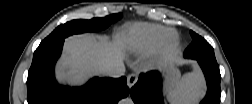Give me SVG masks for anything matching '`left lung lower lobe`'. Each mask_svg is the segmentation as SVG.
<instances>
[{
  "label": "left lung lower lobe",
  "mask_w": 252,
  "mask_h": 104,
  "mask_svg": "<svg viewBox=\"0 0 252 104\" xmlns=\"http://www.w3.org/2000/svg\"><path fill=\"white\" fill-rule=\"evenodd\" d=\"M195 60L205 75L208 87L207 94L200 104H219L221 75L216 59L199 58ZM130 95L135 104H163L160 72L152 71L140 74L138 82L130 90Z\"/></svg>",
  "instance_id": "1"
}]
</instances>
